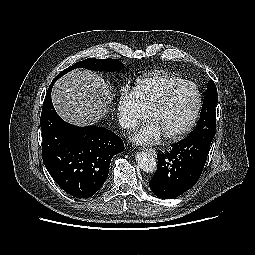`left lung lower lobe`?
Here are the masks:
<instances>
[{
	"label": "left lung lower lobe",
	"mask_w": 255,
	"mask_h": 255,
	"mask_svg": "<svg viewBox=\"0 0 255 255\" xmlns=\"http://www.w3.org/2000/svg\"><path fill=\"white\" fill-rule=\"evenodd\" d=\"M214 136L215 129L192 132L172 150L158 154V168L149 181L152 192L173 199L190 189L202 173Z\"/></svg>",
	"instance_id": "left-lung-lower-lobe-1"
}]
</instances>
